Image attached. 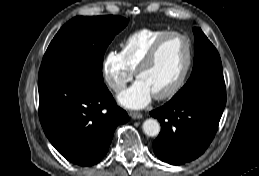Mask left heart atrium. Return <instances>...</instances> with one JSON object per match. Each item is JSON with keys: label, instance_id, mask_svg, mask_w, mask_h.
Returning <instances> with one entry per match:
<instances>
[{"label": "left heart atrium", "instance_id": "1", "mask_svg": "<svg viewBox=\"0 0 259 176\" xmlns=\"http://www.w3.org/2000/svg\"><path fill=\"white\" fill-rule=\"evenodd\" d=\"M153 96L150 88L138 79L118 96V101L126 108L141 109L150 103Z\"/></svg>", "mask_w": 259, "mask_h": 176}]
</instances>
